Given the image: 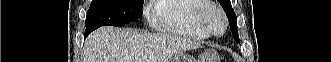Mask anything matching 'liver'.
Here are the masks:
<instances>
[{
  "mask_svg": "<svg viewBox=\"0 0 331 62\" xmlns=\"http://www.w3.org/2000/svg\"><path fill=\"white\" fill-rule=\"evenodd\" d=\"M199 47V43L176 35L102 27L88 37L84 54L85 62H170L174 56Z\"/></svg>",
  "mask_w": 331,
  "mask_h": 62,
  "instance_id": "6515ba94",
  "label": "liver"
}]
</instances>
